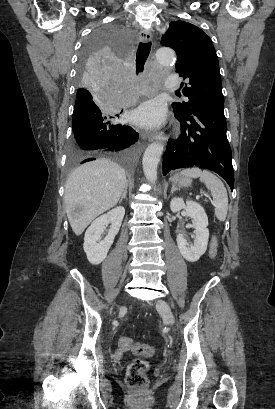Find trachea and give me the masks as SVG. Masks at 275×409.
<instances>
[{
	"mask_svg": "<svg viewBox=\"0 0 275 409\" xmlns=\"http://www.w3.org/2000/svg\"><path fill=\"white\" fill-rule=\"evenodd\" d=\"M151 49V42L140 43L136 53V70L137 73L143 72L145 62L149 56Z\"/></svg>",
	"mask_w": 275,
	"mask_h": 409,
	"instance_id": "1",
	"label": "trachea"
}]
</instances>
